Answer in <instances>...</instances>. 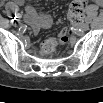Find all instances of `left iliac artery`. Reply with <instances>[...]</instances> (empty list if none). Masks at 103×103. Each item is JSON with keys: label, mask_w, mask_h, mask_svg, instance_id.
<instances>
[{"label": "left iliac artery", "mask_w": 103, "mask_h": 103, "mask_svg": "<svg viewBox=\"0 0 103 103\" xmlns=\"http://www.w3.org/2000/svg\"><path fill=\"white\" fill-rule=\"evenodd\" d=\"M85 22H86V23H90V22H91V18H90L89 16H87V17L85 18Z\"/></svg>", "instance_id": "left-iliac-artery-1"}]
</instances>
